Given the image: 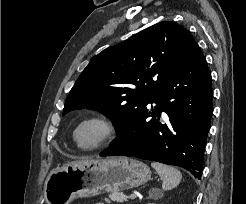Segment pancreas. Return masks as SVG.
Wrapping results in <instances>:
<instances>
[{
  "mask_svg": "<svg viewBox=\"0 0 246 204\" xmlns=\"http://www.w3.org/2000/svg\"><path fill=\"white\" fill-rule=\"evenodd\" d=\"M108 197L112 200V201H116L118 203H121L123 201H126V195L123 192H119V191H112L108 194Z\"/></svg>",
  "mask_w": 246,
  "mask_h": 204,
  "instance_id": "1",
  "label": "pancreas"
}]
</instances>
